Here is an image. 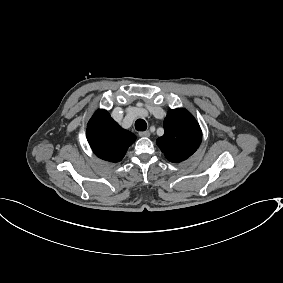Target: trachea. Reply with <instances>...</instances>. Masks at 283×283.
I'll list each match as a JSON object with an SVG mask.
<instances>
[{"label": "trachea", "instance_id": "3493384b", "mask_svg": "<svg viewBox=\"0 0 283 283\" xmlns=\"http://www.w3.org/2000/svg\"><path fill=\"white\" fill-rule=\"evenodd\" d=\"M135 129L137 131H145L147 129V123L143 119H137L135 122Z\"/></svg>", "mask_w": 283, "mask_h": 283}]
</instances>
